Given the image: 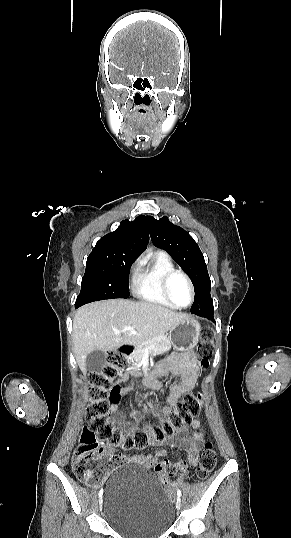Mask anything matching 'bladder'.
<instances>
[{"mask_svg": "<svg viewBox=\"0 0 291 538\" xmlns=\"http://www.w3.org/2000/svg\"><path fill=\"white\" fill-rule=\"evenodd\" d=\"M101 507L107 524L128 538H155L175 519L161 483L137 464L122 465L111 473Z\"/></svg>", "mask_w": 291, "mask_h": 538, "instance_id": "1", "label": "bladder"}]
</instances>
